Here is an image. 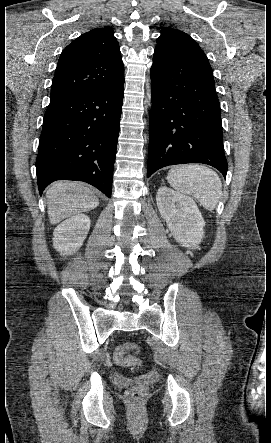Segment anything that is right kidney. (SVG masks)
Returning a JSON list of instances; mask_svg holds the SVG:
<instances>
[{"instance_id": "right-kidney-1", "label": "right kidney", "mask_w": 271, "mask_h": 443, "mask_svg": "<svg viewBox=\"0 0 271 443\" xmlns=\"http://www.w3.org/2000/svg\"><path fill=\"white\" fill-rule=\"evenodd\" d=\"M90 229V218L82 212L59 223L53 231V245L61 255H72L81 247Z\"/></svg>"}]
</instances>
